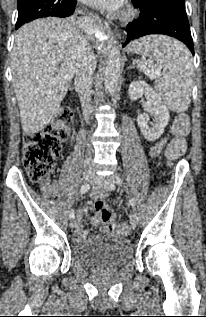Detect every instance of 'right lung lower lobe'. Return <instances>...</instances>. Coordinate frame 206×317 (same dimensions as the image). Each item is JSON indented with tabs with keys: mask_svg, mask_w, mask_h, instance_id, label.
<instances>
[{
	"mask_svg": "<svg viewBox=\"0 0 206 317\" xmlns=\"http://www.w3.org/2000/svg\"><path fill=\"white\" fill-rule=\"evenodd\" d=\"M75 5H76V0L60 2L57 8V12H58L57 17H67L72 15L75 9Z\"/></svg>",
	"mask_w": 206,
	"mask_h": 317,
	"instance_id": "98d812e1",
	"label": "right lung lower lobe"
}]
</instances>
